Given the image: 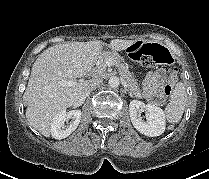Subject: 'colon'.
Here are the masks:
<instances>
[{
    "label": "colon",
    "mask_w": 209,
    "mask_h": 179,
    "mask_svg": "<svg viewBox=\"0 0 209 179\" xmlns=\"http://www.w3.org/2000/svg\"><path fill=\"white\" fill-rule=\"evenodd\" d=\"M128 56L143 65L156 66L171 62L169 51L159 44L135 42L127 48ZM178 81V69L174 68L163 87L164 94L169 96Z\"/></svg>",
    "instance_id": "colon-1"
}]
</instances>
